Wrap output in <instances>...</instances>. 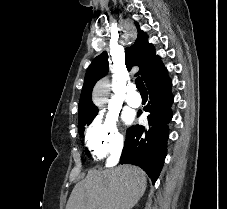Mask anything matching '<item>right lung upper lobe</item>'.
<instances>
[{
  "label": "right lung upper lobe",
  "instance_id": "cb5924a9",
  "mask_svg": "<svg viewBox=\"0 0 227 209\" xmlns=\"http://www.w3.org/2000/svg\"><path fill=\"white\" fill-rule=\"evenodd\" d=\"M138 36L135 43L125 51V64L128 70L133 66H139L136 75H141L146 83L162 65L161 59L155 54L154 46L147 40L145 32L140 30L136 23ZM108 72V55L103 52L94 58L87 69L84 85L79 102V117L96 116L98 109L91 101V92L95 83Z\"/></svg>",
  "mask_w": 227,
  "mask_h": 209
}]
</instances>
